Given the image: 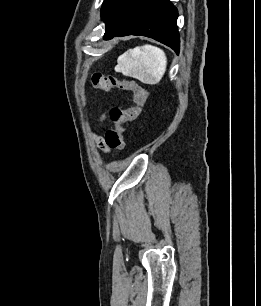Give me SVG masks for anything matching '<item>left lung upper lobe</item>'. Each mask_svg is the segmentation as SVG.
Returning <instances> with one entry per match:
<instances>
[{
	"label": "left lung upper lobe",
	"instance_id": "obj_1",
	"mask_svg": "<svg viewBox=\"0 0 261 306\" xmlns=\"http://www.w3.org/2000/svg\"><path fill=\"white\" fill-rule=\"evenodd\" d=\"M131 2L132 0H104L101 8V18L105 22V34L113 30Z\"/></svg>",
	"mask_w": 261,
	"mask_h": 306
}]
</instances>
